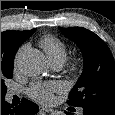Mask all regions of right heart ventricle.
Masks as SVG:
<instances>
[{
  "instance_id": "1",
  "label": "right heart ventricle",
  "mask_w": 115,
  "mask_h": 115,
  "mask_svg": "<svg viewBox=\"0 0 115 115\" xmlns=\"http://www.w3.org/2000/svg\"><path fill=\"white\" fill-rule=\"evenodd\" d=\"M41 48L46 53L49 61L63 64L67 58V47L65 43L54 35H46L39 42Z\"/></svg>"
}]
</instances>
